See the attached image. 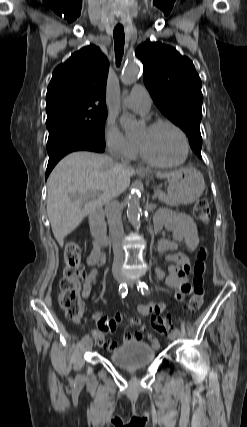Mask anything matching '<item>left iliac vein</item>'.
<instances>
[{
    "mask_svg": "<svg viewBox=\"0 0 247 427\" xmlns=\"http://www.w3.org/2000/svg\"><path fill=\"white\" fill-rule=\"evenodd\" d=\"M125 283L129 286V288H131V289H133V287H134V283H133V281L132 280H129V279H125ZM178 335H179V333H176L175 331H173V332H171L170 334H169V339L170 340H175L177 337H178Z\"/></svg>",
    "mask_w": 247,
    "mask_h": 427,
    "instance_id": "4c4485c4",
    "label": "left iliac vein"
}]
</instances>
